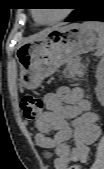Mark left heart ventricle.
Wrapping results in <instances>:
<instances>
[{
	"instance_id": "left-heart-ventricle-1",
	"label": "left heart ventricle",
	"mask_w": 104,
	"mask_h": 169,
	"mask_svg": "<svg viewBox=\"0 0 104 169\" xmlns=\"http://www.w3.org/2000/svg\"><path fill=\"white\" fill-rule=\"evenodd\" d=\"M60 12L59 9H42L36 11V16L41 21H50L55 19Z\"/></svg>"
}]
</instances>
